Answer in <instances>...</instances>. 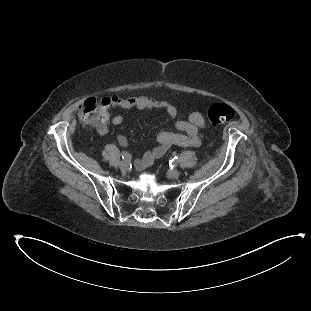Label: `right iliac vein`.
<instances>
[{
    "label": "right iliac vein",
    "mask_w": 311,
    "mask_h": 311,
    "mask_svg": "<svg viewBox=\"0 0 311 311\" xmlns=\"http://www.w3.org/2000/svg\"><path fill=\"white\" fill-rule=\"evenodd\" d=\"M119 168H120L121 171H126V170H127V164H126V162L121 161V162L119 163Z\"/></svg>",
    "instance_id": "1"
}]
</instances>
